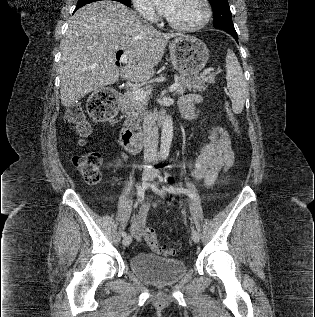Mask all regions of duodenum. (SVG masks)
<instances>
[{"instance_id": "410a0bca", "label": "duodenum", "mask_w": 315, "mask_h": 317, "mask_svg": "<svg viewBox=\"0 0 315 317\" xmlns=\"http://www.w3.org/2000/svg\"><path fill=\"white\" fill-rule=\"evenodd\" d=\"M129 103L128 97L126 94L122 97V104L127 105ZM166 118V113L162 112L160 115V122H163ZM120 141L123 149L129 153H138L143 146V134L137 132L131 128H124L121 131Z\"/></svg>"}]
</instances>
